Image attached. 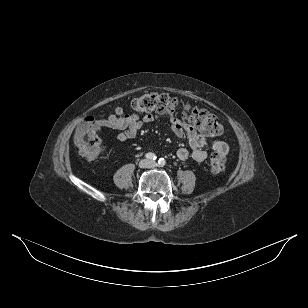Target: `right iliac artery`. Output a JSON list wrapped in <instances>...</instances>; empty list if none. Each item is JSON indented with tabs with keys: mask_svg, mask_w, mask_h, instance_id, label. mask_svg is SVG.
I'll use <instances>...</instances> for the list:
<instances>
[{
	"mask_svg": "<svg viewBox=\"0 0 308 308\" xmlns=\"http://www.w3.org/2000/svg\"><path fill=\"white\" fill-rule=\"evenodd\" d=\"M145 157H146L147 159L153 160V161L157 159L156 155H155L154 153H151V152L147 153V154L145 155Z\"/></svg>",
	"mask_w": 308,
	"mask_h": 308,
	"instance_id": "1",
	"label": "right iliac artery"
}]
</instances>
